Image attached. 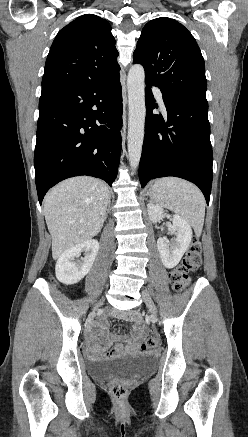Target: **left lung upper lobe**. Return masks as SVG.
<instances>
[{"label": "left lung upper lobe", "mask_w": 248, "mask_h": 437, "mask_svg": "<svg viewBox=\"0 0 248 437\" xmlns=\"http://www.w3.org/2000/svg\"><path fill=\"white\" fill-rule=\"evenodd\" d=\"M133 63L145 70V81L167 96L206 100L204 59L191 33L176 20L148 22L137 42Z\"/></svg>", "instance_id": "5c2ea615"}]
</instances>
